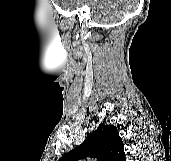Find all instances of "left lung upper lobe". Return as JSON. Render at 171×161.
I'll list each match as a JSON object with an SVG mask.
<instances>
[{
  "instance_id": "5c2ea615",
  "label": "left lung upper lobe",
  "mask_w": 171,
  "mask_h": 161,
  "mask_svg": "<svg viewBox=\"0 0 171 161\" xmlns=\"http://www.w3.org/2000/svg\"><path fill=\"white\" fill-rule=\"evenodd\" d=\"M123 146L115 126L100 124L81 145L63 155L59 161H78L88 156L99 161H126Z\"/></svg>"
}]
</instances>
